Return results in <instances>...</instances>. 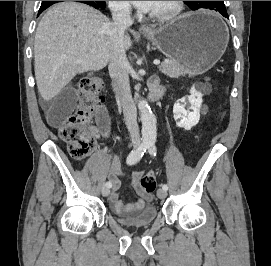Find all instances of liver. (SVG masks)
Returning a JSON list of instances; mask_svg holds the SVG:
<instances>
[{
    "label": "liver",
    "instance_id": "obj_1",
    "mask_svg": "<svg viewBox=\"0 0 271 266\" xmlns=\"http://www.w3.org/2000/svg\"><path fill=\"white\" fill-rule=\"evenodd\" d=\"M109 27L108 18L86 4L63 2L44 14L35 36L34 69L45 101L58 95L77 74L108 64L112 55ZM131 45L130 36L124 35V50Z\"/></svg>",
    "mask_w": 271,
    "mask_h": 266
}]
</instances>
